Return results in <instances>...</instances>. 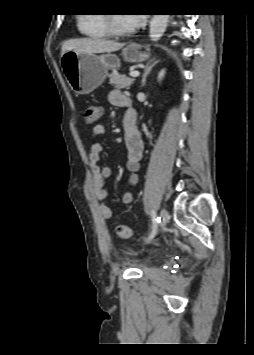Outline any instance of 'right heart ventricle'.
Wrapping results in <instances>:
<instances>
[{"label": "right heart ventricle", "instance_id": "1", "mask_svg": "<svg viewBox=\"0 0 254 355\" xmlns=\"http://www.w3.org/2000/svg\"><path fill=\"white\" fill-rule=\"evenodd\" d=\"M79 31L93 39H103L109 36L105 25V13L80 15L77 19Z\"/></svg>", "mask_w": 254, "mask_h": 355}]
</instances>
